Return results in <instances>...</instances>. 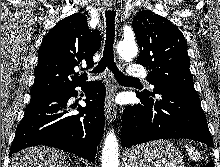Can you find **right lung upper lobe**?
Returning <instances> with one entry per match:
<instances>
[{
    "instance_id": "1",
    "label": "right lung upper lobe",
    "mask_w": 220,
    "mask_h": 167,
    "mask_svg": "<svg viewBox=\"0 0 220 167\" xmlns=\"http://www.w3.org/2000/svg\"><path fill=\"white\" fill-rule=\"evenodd\" d=\"M100 44L99 31L88 28L84 13L59 21L40 46L31 96L84 83L86 74L76 73L74 68L82 62L92 67L93 55Z\"/></svg>"
}]
</instances>
